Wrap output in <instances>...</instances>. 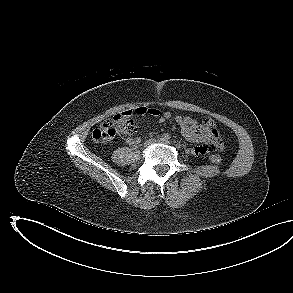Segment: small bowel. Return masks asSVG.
I'll return each mask as SVG.
<instances>
[{
    "label": "small bowel",
    "mask_w": 293,
    "mask_h": 293,
    "mask_svg": "<svg viewBox=\"0 0 293 293\" xmlns=\"http://www.w3.org/2000/svg\"><path fill=\"white\" fill-rule=\"evenodd\" d=\"M132 114L159 116L160 122L173 119L180 126L181 134L185 139L190 142L200 143V145L192 149V153L195 155H204L223 148L220 135L210 118H205L202 123H198L195 119L188 116L172 115L169 111L161 114L159 110L147 107H138L135 110L124 113L127 117ZM125 141L129 145H137L141 142V139L139 137H127ZM202 147L206 149L205 153L200 152Z\"/></svg>",
    "instance_id": "small-bowel-1"
}]
</instances>
